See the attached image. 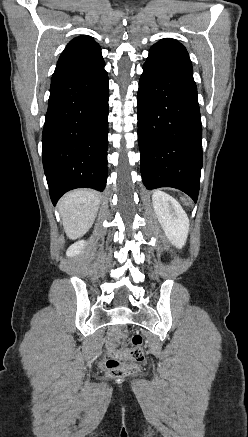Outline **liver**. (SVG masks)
I'll return each mask as SVG.
<instances>
[{
  "label": "liver",
  "mask_w": 248,
  "mask_h": 437,
  "mask_svg": "<svg viewBox=\"0 0 248 437\" xmlns=\"http://www.w3.org/2000/svg\"><path fill=\"white\" fill-rule=\"evenodd\" d=\"M99 205L98 193L90 189L72 191L60 200L58 208L64 231L69 239H77L89 231Z\"/></svg>",
  "instance_id": "6515ba94"
}]
</instances>
